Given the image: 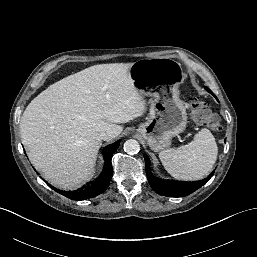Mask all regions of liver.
Here are the masks:
<instances>
[{
  "instance_id": "obj_1",
  "label": "liver",
  "mask_w": 257,
  "mask_h": 257,
  "mask_svg": "<svg viewBox=\"0 0 257 257\" xmlns=\"http://www.w3.org/2000/svg\"><path fill=\"white\" fill-rule=\"evenodd\" d=\"M132 63L99 64L50 85L27 106L20 122L33 166L54 186L71 190L92 174L101 132L142 116L146 103L128 70Z\"/></svg>"
}]
</instances>
